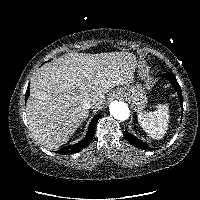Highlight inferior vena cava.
<instances>
[{"label":"inferior vena cava","mask_w":200,"mask_h":200,"mask_svg":"<svg viewBox=\"0 0 200 200\" xmlns=\"http://www.w3.org/2000/svg\"><path fill=\"white\" fill-rule=\"evenodd\" d=\"M82 107L85 109H89L93 107V102L90 98H86L82 101Z\"/></svg>","instance_id":"602c4592"}]
</instances>
